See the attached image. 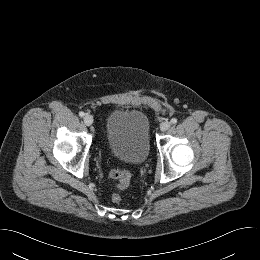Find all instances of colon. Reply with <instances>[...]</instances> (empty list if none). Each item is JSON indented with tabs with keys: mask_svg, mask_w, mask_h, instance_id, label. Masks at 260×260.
Returning <instances> with one entry per match:
<instances>
[{
	"mask_svg": "<svg viewBox=\"0 0 260 260\" xmlns=\"http://www.w3.org/2000/svg\"><path fill=\"white\" fill-rule=\"evenodd\" d=\"M110 176L117 181L116 187L119 190L126 189L129 186L130 183V174L129 172L125 170H120L117 168H112L110 170ZM122 200V197L119 193H113L111 195V201L115 204L120 203Z\"/></svg>",
	"mask_w": 260,
	"mask_h": 260,
	"instance_id": "1",
	"label": "colon"
}]
</instances>
